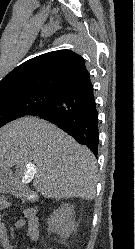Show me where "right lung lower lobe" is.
<instances>
[{"label":"right lung lower lobe","instance_id":"98d812e1","mask_svg":"<svg viewBox=\"0 0 135 249\" xmlns=\"http://www.w3.org/2000/svg\"><path fill=\"white\" fill-rule=\"evenodd\" d=\"M29 115L56 124L80 144L97 154L98 113L92 83L66 90L54 100L34 109Z\"/></svg>","mask_w":135,"mask_h":249}]
</instances>
